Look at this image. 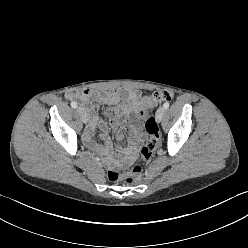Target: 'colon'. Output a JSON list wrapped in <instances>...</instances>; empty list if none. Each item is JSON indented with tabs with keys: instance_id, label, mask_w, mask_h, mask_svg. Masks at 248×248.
<instances>
[{
	"instance_id": "5ec220e1",
	"label": "colon",
	"mask_w": 248,
	"mask_h": 248,
	"mask_svg": "<svg viewBox=\"0 0 248 248\" xmlns=\"http://www.w3.org/2000/svg\"><path fill=\"white\" fill-rule=\"evenodd\" d=\"M173 93L168 90H157L151 96L144 99V107L141 111V116L144 121V126L148 134V140L146 144L140 150V157L142 161H148L154 150L160 143V130L158 123L153 115L150 114L149 109L155 105H158L164 101H171L173 99ZM142 175V166L140 164L135 165L129 172L119 173L115 170H110L107 173V178L110 182H137Z\"/></svg>"
}]
</instances>
